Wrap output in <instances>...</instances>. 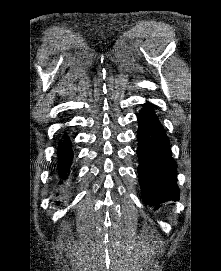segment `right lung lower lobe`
Returning a JSON list of instances; mask_svg holds the SVG:
<instances>
[{"label":"right lung lower lobe","mask_w":221,"mask_h":271,"mask_svg":"<svg viewBox=\"0 0 221 271\" xmlns=\"http://www.w3.org/2000/svg\"><path fill=\"white\" fill-rule=\"evenodd\" d=\"M73 158L72 146L69 136L64 134L58 146L57 172L60 178L66 179Z\"/></svg>","instance_id":"98d812e1"}]
</instances>
